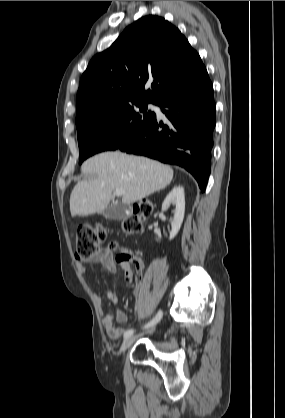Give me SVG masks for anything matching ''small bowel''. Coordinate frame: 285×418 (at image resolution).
<instances>
[{"instance_id":"c3829d8e","label":"small bowel","mask_w":285,"mask_h":418,"mask_svg":"<svg viewBox=\"0 0 285 418\" xmlns=\"http://www.w3.org/2000/svg\"><path fill=\"white\" fill-rule=\"evenodd\" d=\"M91 264H102L110 272H116L117 268H120L123 272L124 280L126 283H132L133 281V270L131 265L128 263L122 262L118 257H116L113 252L109 249L102 248L99 249L89 260ZM78 271L81 274L87 272V268L84 264H78ZM135 294L138 296L140 294V288L137 286L135 289ZM107 299L113 304L118 303V297L111 291L106 293ZM115 320L119 324H124L127 322L126 314L121 310L117 309L115 312ZM103 327L106 331V334L109 338L113 340H119L124 331L122 328L115 325V321L112 315H105L102 319Z\"/></svg>"}]
</instances>
